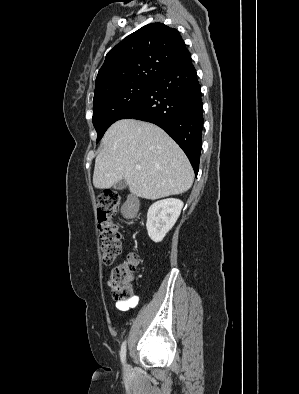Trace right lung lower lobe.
I'll return each mask as SVG.
<instances>
[{
  "label": "right lung lower lobe",
  "instance_id": "right-lung-lower-lobe-1",
  "mask_svg": "<svg viewBox=\"0 0 299 394\" xmlns=\"http://www.w3.org/2000/svg\"><path fill=\"white\" fill-rule=\"evenodd\" d=\"M203 103L191 55L159 75L120 119L154 123L182 148L198 174L202 146Z\"/></svg>",
  "mask_w": 299,
  "mask_h": 394
}]
</instances>
